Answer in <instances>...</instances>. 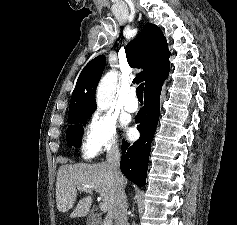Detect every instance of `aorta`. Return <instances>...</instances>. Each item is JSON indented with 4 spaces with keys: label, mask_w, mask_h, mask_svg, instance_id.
Listing matches in <instances>:
<instances>
[{
    "label": "aorta",
    "mask_w": 237,
    "mask_h": 225,
    "mask_svg": "<svg viewBox=\"0 0 237 225\" xmlns=\"http://www.w3.org/2000/svg\"><path fill=\"white\" fill-rule=\"evenodd\" d=\"M116 92V73L110 71L100 81L97 87L96 103L98 110L108 109L114 102Z\"/></svg>",
    "instance_id": "762f6f07"
}]
</instances>
